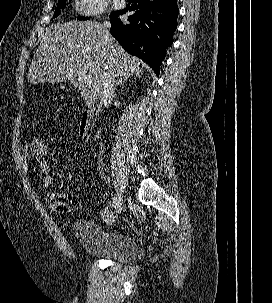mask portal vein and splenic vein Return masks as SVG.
I'll return each mask as SVG.
<instances>
[{
	"instance_id": "obj_1",
	"label": "portal vein and splenic vein",
	"mask_w": 272,
	"mask_h": 303,
	"mask_svg": "<svg viewBox=\"0 0 272 303\" xmlns=\"http://www.w3.org/2000/svg\"><path fill=\"white\" fill-rule=\"evenodd\" d=\"M88 80H89V78L87 77L86 74H79V75H78V81H79L80 83H85V82H87Z\"/></svg>"
}]
</instances>
